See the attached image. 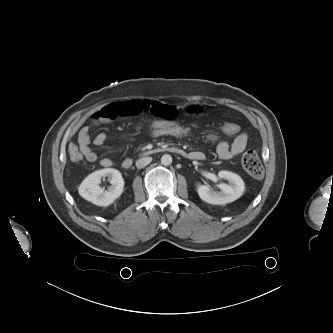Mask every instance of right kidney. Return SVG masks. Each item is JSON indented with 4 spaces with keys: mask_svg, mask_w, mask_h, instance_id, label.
<instances>
[{
    "mask_svg": "<svg viewBox=\"0 0 333 333\" xmlns=\"http://www.w3.org/2000/svg\"><path fill=\"white\" fill-rule=\"evenodd\" d=\"M108 177L111 186L104 190L99 186L102 178ZM124 180L121 173L113 168L95 171L87 176L78 188L80 196L98 206H109L121 196Z\"/></svg>",
    "mask_w": 333,
    "mask_h": 333,
    "instance_id": "right-kidney-1",
    "label": "right kidney"
}]
</instances>
